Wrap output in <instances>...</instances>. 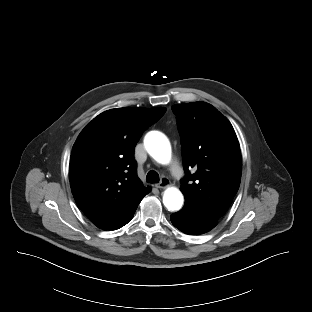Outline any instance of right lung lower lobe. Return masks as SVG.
Wrapping results in <instances>:
<instances>
[{"instance_id":"98d812e1","label":"right lung lower lobe","mask_w":312,"mask_h":312,"mask_svg":"<svg viewBox=\"0 0 312 312\" xmlns=\"http://www.w3.org/2000/svg\"><path fill=\"white\" fill-rule=\"evenodd\" d=\"M134 213H135V212H134ZM133 215H134V214H133ZM133 215L126 221L125 224H127V223L132 219ZM125 224H124V225H125ZM124 225H123V226H124Z\"/></svg>"}]
</instances>
